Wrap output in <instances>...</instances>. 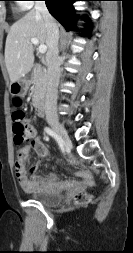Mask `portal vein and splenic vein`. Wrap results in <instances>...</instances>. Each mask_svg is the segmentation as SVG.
<instances>
[{"instance_id":"18ae733b","label":"portal vein and splenic vein","mask_w":133,"mask_h":253,"mask_svg":"<svg viewBox=\"0 0 133 253\" xmlns=\"http://www.w3.org/2000/svg\"><path fill=\"white\" fill-rule=\"evenodd\" d=\"M31 42L34 45H39V41L37 38H31ZM39 53L44 54L47 51V46L44 44H40L38 47Z\"/></svg>"}]
</instances>
